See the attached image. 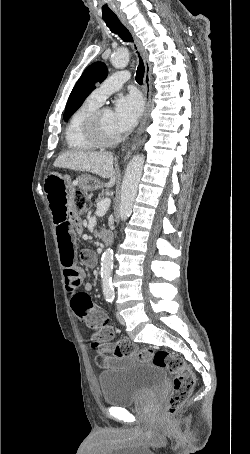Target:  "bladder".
I'll list each match as a JSON object with an SVG mask.
<instances>
[{"instance_id": "bladder-1", "label": "bladder", "mask_w": 250, "mask_h": 454, "mask_svg": "<svg viewBox=\"0 0 250 454\" xmlns=\"http://www.w3.org/2000/svg\"><path fill=\"white\" fill-rule=\"evenodd\" d=\"M126 364L101 372L98 383L107 405L125 407L159 390L165 381L164 370L154 364L125 357Z\"/></svg>"}]
</instances>
